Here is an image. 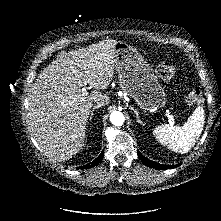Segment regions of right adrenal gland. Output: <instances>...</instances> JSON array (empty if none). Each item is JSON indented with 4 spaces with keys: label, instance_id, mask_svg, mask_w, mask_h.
Here are the masks:
<instances>
[{
    "label": "right adrenal gland",
    "instance_id": "1",
    "mask_svg": "<svg viewBox=\"0 0 221 221\" xmlns=\"http://www.w3.org/2000/svg\"><path fill=\"white\" fill-rule=\"evenodd\" d=\"M101 107V105H94L91 112H90V120L92 119L93 113L95 111V109H99Z\"/></svg>",
    "mask_w": 221,
    "mask_h": 221
}]
</instances>
